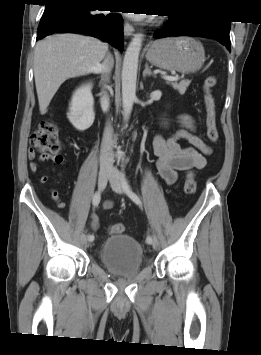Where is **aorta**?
<instances>
[{
    "instance_id": "obj_1",
    "label": "aorta",
    "mask_w": 261,
    "mask_h": 355,
    "mask_svg": "<svg viewBox=\"0 0 261 355\" xmlns=\"http://www.w3.org/2000/svg\"><path fill=\"white\" fill-rule=\"evenodd\" d=\"M143 42V34L139 33L134 36L129 43L125 56L123 59L122 67V103H123V116L127 121L136 99V81L138 60Z\"/></svg>"
}]
</instances>
